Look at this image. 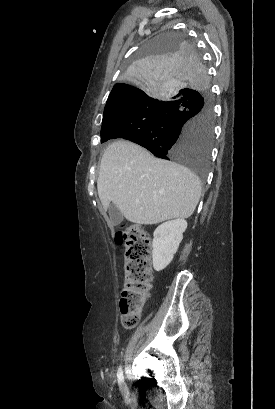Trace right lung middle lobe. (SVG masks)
Masks as SVG:
<instances>
[{"instance_id":"dd1d6c3e","label":"right lung middle lobe","mask_w":275,"mask_h":409,"mask_svg":"<svg viewBox=\"0 0 275 409\" xmlns=\"http://www.w3.org/2000/svg\"><path fill=\"white\" fill-rule=\"evenodd\" d=\"M141 49L131 50L123 83L146 92L104 112L101 143L130 140L158 158L193 167L205 182L210 175L213 119L201 55L186 36L168 31L142 42Z\"/></svg>"}]
</instances>
